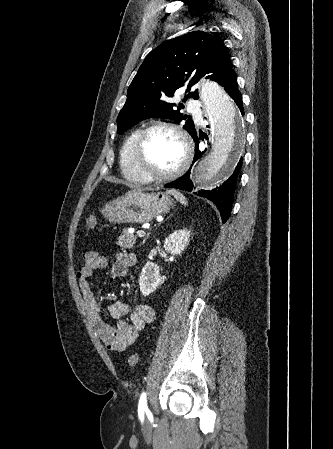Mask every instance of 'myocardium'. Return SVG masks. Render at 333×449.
Here are the masks:
<instances>
[{"label":"myocardium","mask_w":333,"mask_h":449,"mask_svg":"<svg viewBox=\"0 0 333 449\" xmlns=\"http://www.w3.org/2000/svg\"><path fill=\"white\" fill-rule=\"evenodd\" d=\"M155 130H164L168 131L180 140L182 148H183V159L181 163L171 172L161 175H156L148 172L144 169L142 165L143 160V152H144V145L148 138V136ZM193 156V148L192 144L188 138V136L185 134V132L168 122L163 121H156L145 128H143L134 145V164L137 172L139 175L146 180L147 182H168L171 180H174L178 178L180 175H182L187 168L189 167Z\"/></svg>","instance_id":"1"}]
</instances>
